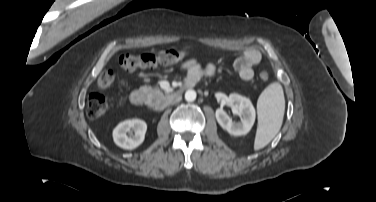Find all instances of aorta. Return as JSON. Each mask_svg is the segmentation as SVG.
I'll list each match as a JSON object with an SVG mask.
<instances>
[{"label": "aorta", "mask_w": 376, "mask_h": 202, "mask_svg": "<svg viewBox=\"0 0 376 202\" xmlns=\"http://www.w3.org/2000/svg\"><path fill=\"white\" fill-rule=\"evenodd\" d=\"M196 91L193 89H189L185 93V100L188 102H193L196 99Z\"/></svg>", "instance_id": "1"}]
</instances>
